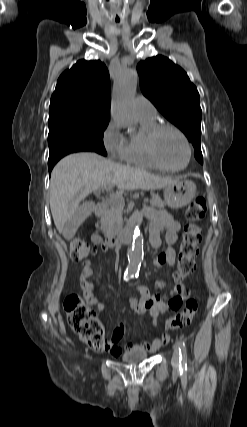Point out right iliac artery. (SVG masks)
<instances>
[{
  "instance_id": "obj_1",
  "label": "right iliac artery",
  "mask_w": 247,
  "mask_h": 427,
  "mask_svg": "<svg viewBox=\"0 0 247 427\" xmlns=\"http://www.w3.org/2000/svg\"><path fill=\"white\" fill-rule=\"evenodd\" d=\"M129 278H131V276H124V280H128Z\"/></svg>"
}]
</instances>
